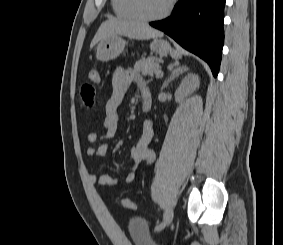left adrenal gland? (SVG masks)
Segmentation results:
<instances>
[{
  "instance_id": "a2214340",
  "label": "left adrenal gland",
  "mask_w": 283,
  "mask_h": 245,
  "mask_svg": "<svg viewBox=\"0 0 283 245\" xmlns=\"http://www.w3.org/2000/svg\"><path fill=\"white\" fill-rule=\"evenodd\" d=\"M188 71V68L186 66L182 67H176L172 70L171 75L168 77V79L163 83L162 90L165 89L171 81H173L176 77H178L180 74Z\"/></svg>"
}]
</instances>
